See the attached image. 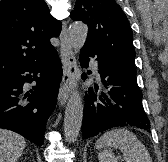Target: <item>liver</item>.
Instances as JSON below:
<instances>
[{"instance_id":"liver-1","label":"liver","mask_w":168,"mask_h":162,"mask_svg":"<svg viewBox=\"0 0 168 162\" xmlns=\"http://www.w3.org/2000/svg\"><path fill=\"white\" fill-rule=\"evenodd\" d=\"M26 146L25 139L6 129H0V162H17Z\"/></svg>"}]
</instances>
